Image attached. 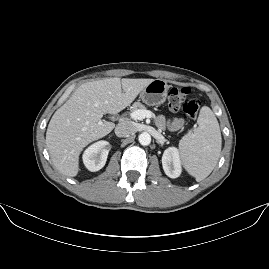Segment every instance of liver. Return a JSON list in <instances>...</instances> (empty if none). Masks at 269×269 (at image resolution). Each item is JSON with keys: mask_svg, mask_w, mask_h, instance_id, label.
I'll return each instance as SVG.
<instances>
[{"mask_svg": "<svg viewBox=\"0 0 269 269\" xmlns=\"http://www.w3.org/2000/svg\"><path fill=\"white\" fill-rule=\"evenodd\" d=\"M152 81L116 77L79 86L55 112L47 129L46 144L56 168L62 174L75 176L81 149L115 126L103 120V114L120 112Z\"/></svg>", "mask_w": 269, "mask_h": 269, "instance_id": "obj_1", "label": "liver"}]
</instances>
